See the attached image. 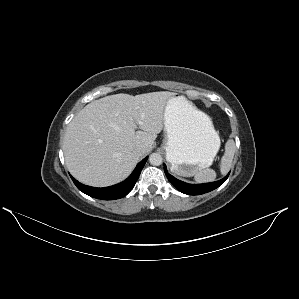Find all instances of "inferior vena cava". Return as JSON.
Listing matches in <instances>:
<instances>
[{"label": "inferior vena cava", "instance_id": "602c4592", "mask_svg": "<svg viewBox=\"0 0 299 299\" xmlns=\"http://www.w3.org/2000/svg\"><path fill=\"white\" fill-rule=\"evenodd\" d=\"M135 152L136 153H138V154H143L144 152H145V149H144V146L143 145H137L136 147H135Z\"/></svg>", "mask_w": 299, "mask_h": 299}]
</instances>
